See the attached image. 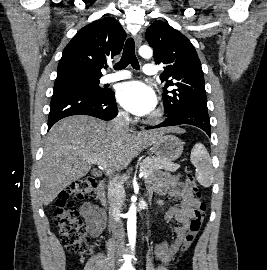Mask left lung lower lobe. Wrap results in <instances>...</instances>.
<instances>
[{
	"label": "left lung lower lobe",
	"instance_id": "obj_1",
	"mask_svg": "<svg viewBox=\"0 0 267 270\" xmlns=\"http://www.w3.org/2000/svg\"><path fill=\"white\" fill-rule=\"evenodd\" d=\"M181 124L193 125L204 130L210 136V120L208 112L199 109H186L176 113H168L167 119L156 125L145 129L175 126Z\"/></svg>",
	"mask_w": 267,
	"mask_h": 270
}]
</instances>
